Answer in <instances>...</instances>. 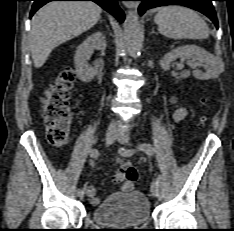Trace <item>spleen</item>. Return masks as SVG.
<instances>
[{
	"label": "spleen",
	"instance_id": "3e777b00",
	"mask_svg": "<svg viewBox=\"0 0 234 231\" xmlns=\"http://www.w3.org/2000/svg\"><path fill=\"white\" fill-rule=\"evenodd\" d=\"M159 32L171 39H206L209 28L192 9L170 5L162 7L154 17Z\"/></svg>",
	"mask_w": 234,
	"mask_h": 231
}]
</instances>
